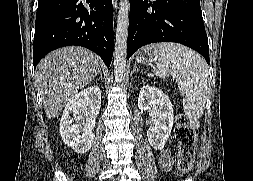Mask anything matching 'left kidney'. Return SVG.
<instances>
[{"label": "left kidney", "instance_id": "5707ae66", "mask_svg": "<svg viewBox=\"0 0 253 181\" xmlns=\"http://www.w3.org/2000/svg\"><path fill=\"white\" fill-rule=\"evenodd\" d=\"M138 107L149 110L153 120L147 131L150 145L155 150L163 149L174 123L173 105L169 97L161 89L146 85L140 90Z\"/></svg>", "mask_w": 253, "mask_h": 181}]
</instances>
